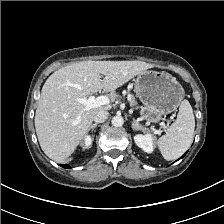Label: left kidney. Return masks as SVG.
Returning a JSON list of instances; mask_svg holds the SVG:
<instances>
[{"instance_id":"obj_1","label":"left kidney","mask_w":224,"mask_h":224,"mask_svg":"<svg viewBox=\"0 0 224 224\" xmlns=\"http://www.w3.org/2000/svg\"><path fill=\"white\" fill-rule=\"evenodd\" d=\"M134 141L146 153L154 151V137L152 134H137L134 136Z\"/></svg>"}]
</instances>
